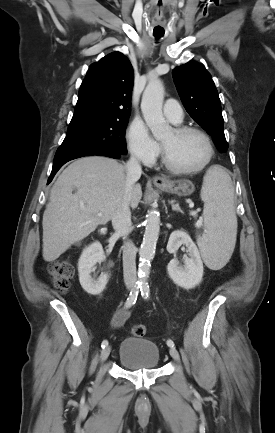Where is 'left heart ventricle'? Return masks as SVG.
<instances>
[{
    "label": "left heart ventricle",
    "mask_w": 275,
    "mask_h": 433,
    "mask_svg": "<svg viewBox=\"0 0 275 433\" xmlns=\"http://www.w3.org/2000/svg\"><path fill=\"white\" fill-rule=\"evenodd\" d=\"M171 162L180 168H194L202 164L208 154L205 140L196 133L177 135L170 129L160 139Z\"/></svg>",
    "instance_id": "b2bd125f"
}]
</instances>
